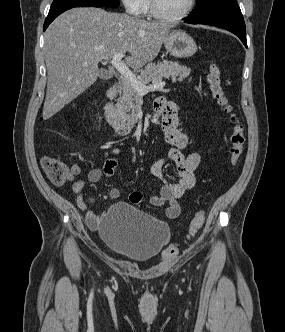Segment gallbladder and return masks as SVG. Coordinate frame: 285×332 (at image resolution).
<instances>
[{"instance_id": "gallbladder-1", "label": "gallbladder", "mask_w": 285, "mask_h": 332, "mask_svg": "<svg viewBox=\"0 0 285 332\" xmlns=\"http://www.w3.org/2000/svg\"><path fill=\"white\" fill-rule=\"evenodd\" d=\"M111 76H112L111 73L109 71L105 70V69H101L99 71V77L101 79L108 80V79L111 78Z\"/></svg>"}]
</instances>
